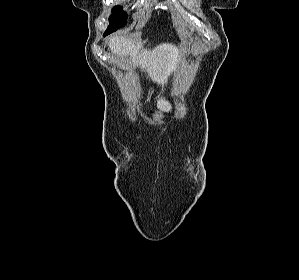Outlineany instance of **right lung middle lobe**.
<instances>
[{"instance_id":"obj_1","label":"right lung middle lobe","mask_w":299,"mask_h":280,"mask_svg":"<svg viewBox=\"0 0 299 280\" xmlns=\"http://www.w3.org/2000/svg\"><path fill=\"white\" fill-rule=\"evenodd\" d=\"M113 14L109 18L110 25L107 30L114 32L119 27H123L126 24L127 14L122 10V7L116 6L112 10Z\"/></svg>"}]
</instances>
